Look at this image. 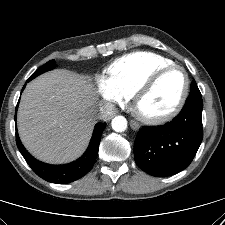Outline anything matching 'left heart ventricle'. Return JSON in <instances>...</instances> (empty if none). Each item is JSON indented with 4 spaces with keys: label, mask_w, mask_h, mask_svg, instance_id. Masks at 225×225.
Instances as JSON below:
<instances>
[{
    "label": "left heart ventricle",
    "mask_w": 225,
    "mask_h": 225,
    "mask_svg": "<svg viewBox=\"0 0 225 225\" xmlns=\"http://www.w3.org/2000/svg\"><path fill=\"white\" fill-rule=\"evenodd\" d=\"M183 74L178 70L168 72L161 77L153 89L146 94L139 104V109L146 115H160L170 110L178 100Z\"/></svg>",
    "instance_id": "b2bd125f"
}]
</instances>
